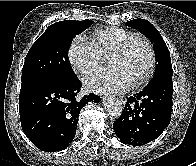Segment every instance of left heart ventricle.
I'll list each match as a JSON object with an SVG mask.
<instances>
[{"label": "left heart ventricle", "mask_w": 196, "mask_h": 166, "mask_svg": "<svg viewBox=\"0 0 196 166\" xmlns=\"http://www.w3.org/2000/svg\"><path fill=\"white\" fill-rule=\"evenodd\" d=\"M149 61L147 46L142 41H136L126 55L111 56L109 65L112 68H120L135 82L147 70Z\"/></svg>", "instance_id": "b2bd125f"}]
</instances>
